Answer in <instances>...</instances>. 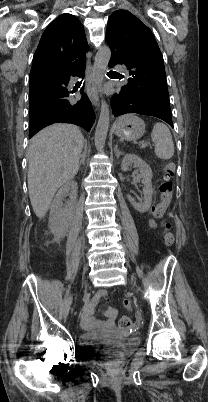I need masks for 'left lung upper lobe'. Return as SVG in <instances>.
Instances as JSON below:
<instances>
[{"label": "left lung upper lobe", "mask_w": 208, "mask_h": 402, "mask_svg": "<svg viewBox=\"0 0 208 402\" xmlns=\"http://www.w3.org/2000/svg\"><path fill=\"white\" fill-rule=\"evenodd\" d=\"M106 42L130 70V86L170 103L163 56L148 27L129 11L117 10L109 17Z\"/></svg>", "instance_id": "1"}]
</instances>
